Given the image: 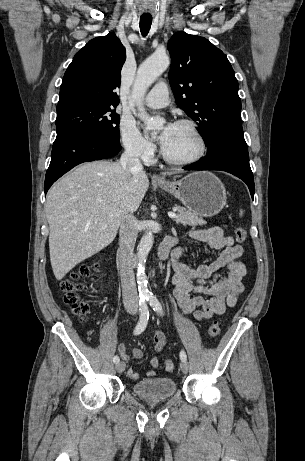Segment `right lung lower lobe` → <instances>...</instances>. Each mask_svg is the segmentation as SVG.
Returning a JSON list of instances; mask_svg holds the SVG:
<instances>
[{"label": "right lung lower lobe", "instance_id": "obj_1", "mask_svg": "<svg viewBox=\"0 0 305 461\" xmlns=\"http://www.w3.org/2000/svg\"><path fill=\"white\" fill-rule=\"evenodd\" d=\"M121 150L120 144L94 136H76L56 139L51 162L46 172L44 191L76 165L94 160L111 158Z\"/></svg>", "mask_w": 305, "mask_h": 461}]
</instances>
